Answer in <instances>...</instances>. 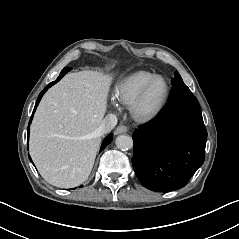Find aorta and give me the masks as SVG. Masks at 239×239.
I'll return each instance as SVG.
<instances>
[{
	"instance_id": "aorta-1",
	"label": "aorta",
	"mask_w": 239,
	"mask_h": 239,
	"mask_svg": "<svg viewBox=\"0 0 239 239\" xmlns=\"http://www.w3.org/2000/svg\"><path fill=\"white\" fill-rule=\"evenodd\" d=\"M116 145L121 150H128L133 147V139L129 135H120L116 138Z\"/></svg>"
}]
</instances>
